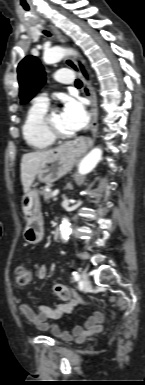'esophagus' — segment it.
Listing matches in <instances>:
<instances>
[{
  "instance_id": "obj_1",
  "label": "esophagus",
  "mask_w": 145,
  "mask_h": 385,
  "mask_svg": "<svg viewBox=\"0 0 145 385\" xmlns=\"http://www.w3.org/2000/svg\"><path fill=\"white\" fill-rule=\"evenodd\" d=\"M50 28L52 29V31L56 35L57 40L60 43L65 44L66 43V38L64 37V35L56 27H54L53 25H50ZM64 62H65V64L69 68H71L81 78V80L83 82L82 91H83L84 95L87 98H89L90 101H91V116H92V119H91L90 130L92 132V138L87 139L86 141L81 140V139H77L73 143L70 144V147L72 149L86 150L87 148L92 147V145L94 143V139H95L96 134H97V130H98L97 97H96V93H95L94 88L92 87V85L87 81V79L82 74V72H81L77 62L73 58H71V57H66L64 59Z\"/></svg>"
}]
</instances>
